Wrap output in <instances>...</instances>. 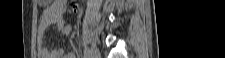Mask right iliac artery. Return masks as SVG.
<instances>
[{"mask_svg":"<svg viewBox=\"0 0 225 58\" xmlns=\"http://www.w3.org/2000/svg\"><path fill=\"white\" fill-rule=\"evenodd\" d=\"M83 58H89V50L87 48L83 51Z\"/></svg>","mask_w":225,"mask_h":58,"instance_id":"1","label":"right iliac artery"}]
</instances>
